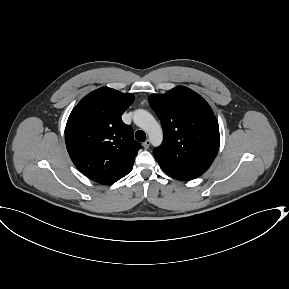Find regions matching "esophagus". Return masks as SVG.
Returning <instances> with one entry per match:
<instances>
[{
    "mask_svg": "<svg viewBox=\"0 0 289 289\" xmlns=\"http://www.w3.org/2000/svg\"><path fill=\"white\" fill-rule=\"evenodd\" d=\"M142 145L145 149H148L150 146V140H146Z\"/></svg>",
    "mask_w": 289,
    "mask_h": 289,
    "instance_id": "obj_1",
    "label": "esophagus"
}]
</instances>
